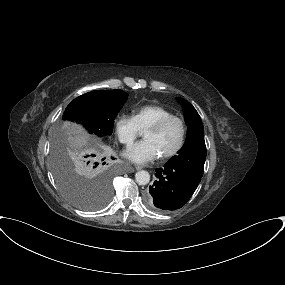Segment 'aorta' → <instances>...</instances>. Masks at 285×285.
<instances>
[{
	"label": "aorta",
	"mask_w": 285,
	"mask_h": 285,
	"mask_svg": "<svg viewBox=\"0 0 285 285\" xmlns=\"http://www.w3.org/2000/svg\"><path fill=\"white\" fill-rule=\"evenodd\" d=\"M135 181L139 185H146L150 181V174L145 170L138 171L135 174Z\"/></svg>",
	"instance_id": "aorta-1"
}]
</instances>
